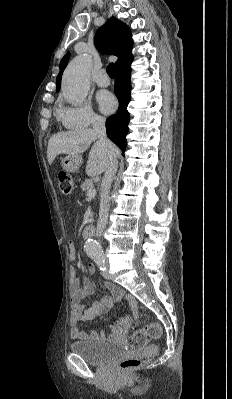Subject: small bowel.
Returning a JSON list of instances; mask_svg holds the SVG:
<instances>
[{
  "mask_svg": "<svg viewBox=\"0 0 232 399\" xmlns=\"http://www.w3.org/2000/svg\"><path fill=\"white\" fill-rule=\"evenodd\" d=\"M69 256L70 259L76 257V244L75 242L69 243ZM98 275V270L92 268L89 272V276H84L77 272L74 267H70L69 270V300L72 309V314L69 319V336L72 340L79 344H97L104 339H113L117 337L120 333L128 331L131 329V321L128 318L125 321H118L110 325L109 333H100L92 331L88 337L86 332L80 328L79 324L87 319L94 318L102 313H105L111 308L115 301L125 298L130 305L131 310L134 312V317L137 319L138 306L136 303L135 296L133 294H125L122 290L116 288L108 280H104L103 286L106 290L110 291L114 297H103L100 301H95L90 306H80L79 301L84 294L91 295L94 290L92 288H87L82 290L80 288L81 281L88 280L89 278H95Z\"/></svg>",
  "mask_w": 232,
  "mask_h": 399,
  "instance_id": "1",
  "label": "small bowel"
}]
</instances>
